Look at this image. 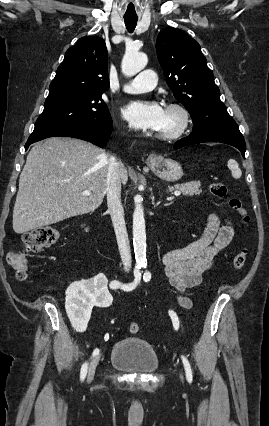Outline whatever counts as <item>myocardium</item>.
I'll use <instances>...</instances> for the list:
<instances>
[{"mask_svg":"<svg viewBox=\"0 0 269 426\" xmlns=\"http://www.w3.org/2000/svg\"><path fill=\"white\" fill-rule=\"evenodd\" d=\"M166 110L178 115V125L170 131L158 133V138L164 141H173L180 138L187 131L190 125V113L187 108L179 103H170Z\"/></svg>","mask_w":269,"mask_h":426,"instance_id":"f54148a6","label":"myocardium"}]
</instances>
